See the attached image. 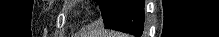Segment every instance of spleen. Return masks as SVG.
Wrapping results in <instances>:
<instances>
[{"instance_id":"1","label":"spleen","mask_w":219,"mask_h":37,"mask_svg":"<svg viewBox=\"0 0 219 37\" xmlns=\"http://www.w3.org/2000/svg\"><path fill=\"white\" fill-rule=\"evenodd\" d=\"M108 37H127V36H124L123 34H119V33H110Z\"/></svg>"}]
</instances>
